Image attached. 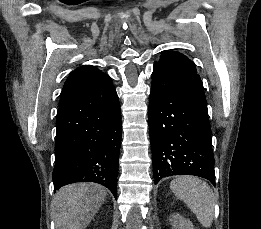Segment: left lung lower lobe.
Instances as JSON below:
<instances>
[{
	"label": "left lung lower lobe",
	"mask_w": 261,
	"mask_h": 229,
	"mask_svg": "<svg viewBox=\"0 0 261 229\" xmlns=\"http://www.w3.org/2000/svg\"><path fill=\"white\" fill-rule=\"evenodd\" d=\"M149 131L156 181L173 175H194L215 186L207 102L196 72L154 65Z\"/></svg>",
	"instance_id": "obj_1"
}]
</instances>
